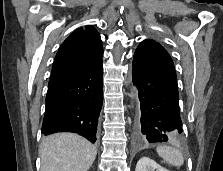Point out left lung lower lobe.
<instances>
[{
	"label": "left lung lower lobe",
	"instance_id": "1",
	"mask_svg": "<svg viewBox=\"0 0 223 171\" xmlns=\"http://www.w3.org/2000/svg\"><path fill=\"white\" fill-rule=\"evenodd\" d=\"M132 78L140 102L134 134L136 144L143 146L181 138L177 77L165 48L154 41L141 42L134 54Z\"/></svg>",
	"mask_w": 223,
	"mask_h": 171
}]
</instances>
